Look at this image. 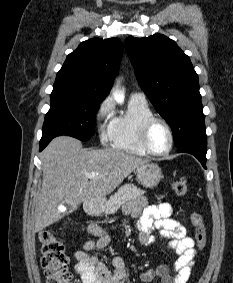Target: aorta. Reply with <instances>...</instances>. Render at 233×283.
Instances as JSON below:
<instances>
[{"label":"aorta","instance_id":"obj_1","mask_svg":"<svg viewBox=\"0 0 233 283\" xmlns=\"http://www.w3.org/2000/svg\"><path fill=\"white\" fill-rule=\"evenodd\" d=\"M114 99L118 102V103H122L124 101V95L122 93H114Z\"/></svg>","mask_w":233,"mask_h":283}]
</instances>
